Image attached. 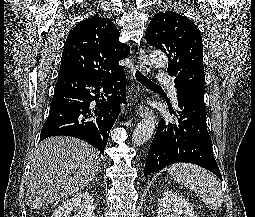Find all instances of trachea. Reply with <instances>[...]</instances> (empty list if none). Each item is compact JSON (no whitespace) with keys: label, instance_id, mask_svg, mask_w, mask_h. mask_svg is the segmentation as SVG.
Here are the masks:
<instances>
[{"label":"trachea","instance_id":"3493384b","mask_svg":"<svg viewBox=\"0 0 255 217\" xmlns=\"http://www.w3.org/2000/svg\"><path fill=\"white\" fill-rule=\"evenodd\" d=\"M136 79L145 87L151 88V89H161L159 85L149 80L146 76H144L139 70H136L135 72Z\"/></svg>","mask_w":255,"mask_h":217}]
</instances>
